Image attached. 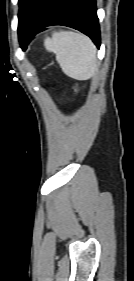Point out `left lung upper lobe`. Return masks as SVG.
I'll return each instance as SVG.
<instances>
[{
  "label": "left lung upper lobe",
  "instance_id": "1",
  "mask_svg": "<svg viewBox=\"0 0 134 281\" xmlns=\"http://www.w3.org/2000/svg\"><path fill=\"white\" fill-rule=\"evenodd\" d=\"M41 0H19L18 32L22 31Z\"/></svg>",
  "mask_w": 134,
  "mask_h": 281
}]
</instances>
